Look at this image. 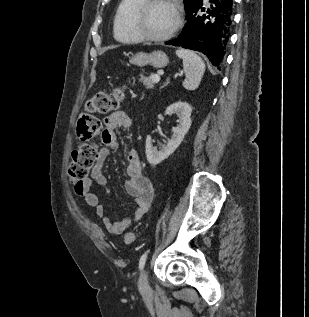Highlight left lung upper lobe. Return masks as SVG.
I'll list each match as a JSON object with an SVG mask.
<instances>
[{
  "mask_svg": "<svg viewBox=\"0 0 309 317\" xmlns=\"http://www.w3.org/2000/svg\"><path fill=\"white\" fill-rule=\"evenodd\" d=\"M202 0H184L185 10L188 11L196 7Z\"/></svg>",
  "mask_w": 309,
  "mask_h": 317,
  "instance_id": "obj_1",
  "label": "left lung upper lobe"
}]
</instances>
